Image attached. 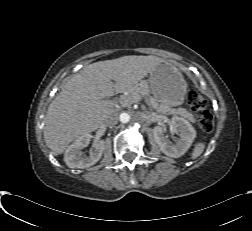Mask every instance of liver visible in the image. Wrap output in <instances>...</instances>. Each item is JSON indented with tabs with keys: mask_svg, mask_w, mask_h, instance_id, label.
I'll use <instances>...</instances> for the list:
<instances>
[{
	"mask_svg": "<svg viewBox=\"0 0 252 231\" xmlns=\"http://www.w3.org/2000/svg\"><path fill=\"white\" fill-rule=\"evenodd\" d=\"M162 61L157 56H123L92 63L71 77L47 109L44 139L48 148L62 154L73 140L98 129L116 112L113 102L102 99L114 92H134Z\"/></svg>",
	"mask_w": 252,
	"mask_h": 231,
	"instance_id": "1",
	"label": "liver"
}]
</instances>
